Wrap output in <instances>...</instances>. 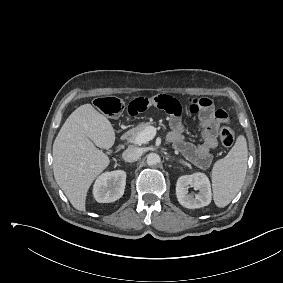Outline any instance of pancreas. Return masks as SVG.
I'll list each match as a JSON object with an SVG mask.
<instances>
[{
	"instance_id": "obj_1",
	"label": "pancreas",
	"mask_w": 283,
	"mask_h": 283,
	"mask_svg": "<svg viewBox=\"0 0 283 283\" xmlns=\"http://www.w3.org/2000/svg\"><path fill=\"white\" fill-rule=\"evenodd\" d=\"M151 122L141 123L136 128L131 129L127 132V136L129 137L130 141H133L142 131L146 128L151 127Z\"/></svg>"
}]
</instances>
